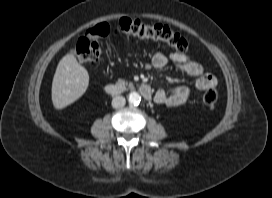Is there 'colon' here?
I'll use <instances>...</instances> for the list:
<instances>
[{
    "label": "colon",
    "mask_w": 272,
    "mask_h": 198,
    "mask_svg": "<svg viewBox=\"0 0 272 198\" xmlns=\"http://www.w3.org/2000/svg\"><path fill=\"white\" fill-rule=\"evenodd\" d=\"M110 32L143 39L161 40L180 53L188 50L186 38L169 27L161 24H146L137 18L123 17L116 22H102L88 29L85 35L77 40L72 53L81 61L98 62L102 53L100 41ZM217 98L216 90L208 88L202 96V103L206 108L211 109L215 106Z\"/></svg>",
    "instance_id": "5ec220e1"
}]
</instances>
